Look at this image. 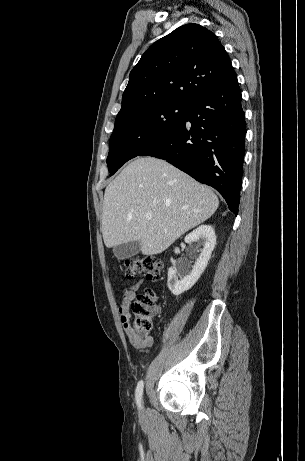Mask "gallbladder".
Returning a JSON list of instances; mask_svg holds the SVG:
<instances>
[{
    "label": "gallbladder",
    "mask_w": 305,
    "mask_h": 461,
    "mask_svg": "<svg viewBox=\"0 0 305 461\" xmlns=\"http://www.w3.org/2000/svg\"><path fill=\"white\" fill-rule=\"evenodd\" d=\"M141 250V244L138 240L115 246L113 248L114 256L118 260H123L135 256Z\"/></svg>",
    "instance_id": "bac80fb5"
}]
</instances>
